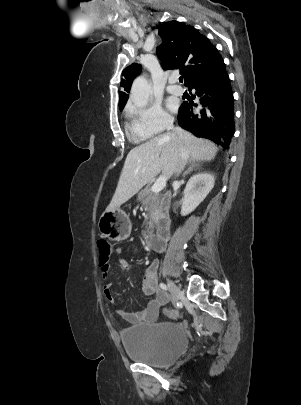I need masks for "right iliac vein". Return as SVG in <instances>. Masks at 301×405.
<instances>
[{
  "mask_svg": "<svg viewBox=\"0 0 301 405\" xmlns=\"http://www.w3.org/2000/svg\"><path fill=\"white\" fill-rule=\"evenodd\" d=\"M167 285L169 287V290L172 294L174 302H177L181 296V291L180 289L170 280L167 281Z\"/></svg>",
  "mask_w": 301,
  "mask_h": 405,
  "instance_id": "63e3f726",
  "label": "right iliac vein"
}]
</instances>
